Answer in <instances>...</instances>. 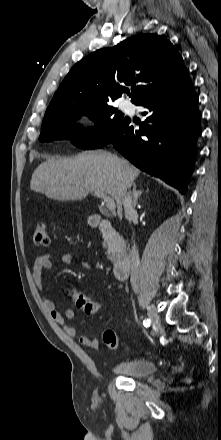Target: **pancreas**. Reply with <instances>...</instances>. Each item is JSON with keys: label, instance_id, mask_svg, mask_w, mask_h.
<instances>
[{"label": "pancreas", "instance_id": "pancreas-1", "mask_svg": "<svg viewBox=\"0 0 221 440\" xmlns=\"http://www.w3.org/2000/svg\"><path fill=\"white\" fill-rule=\"evenodd\" d=\"M116 258L120 259L125 253L123 247L121 245L116 246L115 248Z\"/></svg>", "mask_w": 221, "mask_h": 440}]
</instances>
